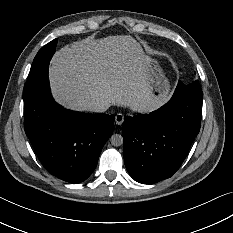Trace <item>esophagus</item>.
<instances>
[{"mask_svg": "<svg viewBox=\"0 0 233 233\" xmlns=\"http://www.w3.org/2000/svg\"><path fill=\"white\" fill-rule=\"evenodd\" d=\"M124 121V115L119 113L115 116V122L117 125H121Z\"/></svg>", "mask_w": 233, "mask_h": 233, "instance_id": "obj_1", "label": "esophagus"}]
</instances>
